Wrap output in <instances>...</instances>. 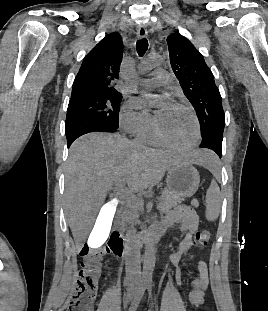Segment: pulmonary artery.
<instances>
[{
	"label": "pulmonary artery",
	"mask_w": 268,
	"mask_h": 311,
	"mask_svg": "<svg viewBox=\"0 0 268 311\" xmlns=\"http://www.w3.org/2000/svg\"><path fill=\"white\" fill-rule=\"evenodd\" d=\"M171 78L172 76L169 72L164 70H158L152 74V77L142 79L140 81V85L146 88L158 87L168 83Z\"/></svg>",
	"instance_id": "obj_1"
}]
</instances>
